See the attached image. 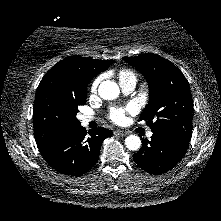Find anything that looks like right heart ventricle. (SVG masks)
<instances>
[{
  "instance_id": "obj_1",
  "label": "right heart ventricle",
  "mask_w": 221,
  "mask_h": 221,
  "mask_svg": "<svg viewBox=\"0 0 221 221\" xmlns=\"http://www.w3.org/2000/svg\"><path fill=\"white\" fill-rule=\"evenodd\" d=\"M119 81H123L126 79H135L136 80V75L127 69H122L118 73Z\"/></svg>"
}]
</instances>
